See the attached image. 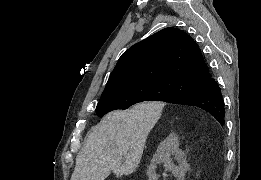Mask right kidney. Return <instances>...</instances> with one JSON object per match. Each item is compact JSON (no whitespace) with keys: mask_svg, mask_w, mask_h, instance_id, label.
<instances>
[{"mask_svg":"<svg viewBox=\"0 0 261 180\" xmlns=\"http://www.w3.org/2000/svg\"><path fill=\"white\" fill-rule=\"evenodd\" d=\"M179 146V140L175 134H170L164 142H161L152 160V164H150L148 168L147 176H149L150 180H152V178L156 180L155 170L157 164H160V162H165V166L172 170L178 180H183L187 170H189V166L187 164L186 154L180 150ZM170 156H175V160H178L179 166H174Z\"/></svg>","mask_w":261,"mask_h":180,"instance_id":"1","label":"right kidney"}]
</instances>
